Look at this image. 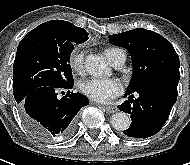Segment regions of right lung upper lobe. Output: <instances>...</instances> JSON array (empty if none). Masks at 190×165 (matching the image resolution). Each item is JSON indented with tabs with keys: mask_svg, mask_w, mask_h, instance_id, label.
I'll return each mask as SVG.
<instances>
[{
	"mask_svg": "<svg viewBox=\"0 0 190 165\" xmlns=\"http://www.w3.org/2000/svg\"><path fill=\"white\" fill-rule=\"evenodd\" d=\"M48 22H53V23L61 24V25H63L68 31H71V32H77V31H80L81 29H83V28L76 27V26L73 25L72 23L67 22V21H64V20H53V21H48Z\"/></svg>",
	"mask_w": 190,
	"mask_h": 165,
	"instance_id": "1",
	"label": "right lung upper lobe"
}]
</instances>
